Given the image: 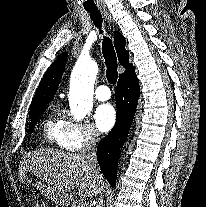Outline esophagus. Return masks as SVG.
Here are the masks:
<instances>
[{"label": "esophagus", "instance_id": "1", "mask_svg": "<svg viewBox=\"0 0 206 207\" xmlns=\"http://www.w3.org/2000/svg\"><path fill=\"white\" fill-rule=\"evenodd\" d=\"M104 15H105L106 19H107L109 22H111V16L108 14L107 11H104Z\"/></svg>", "mask_w": 206, "mask_h": 207}]
</instances>
